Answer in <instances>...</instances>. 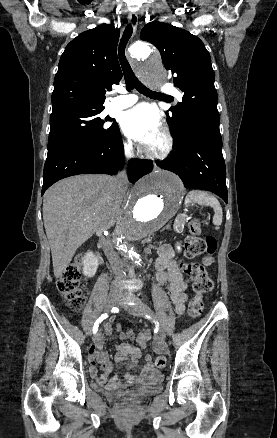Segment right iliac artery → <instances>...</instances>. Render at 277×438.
Returning <instances> with one entry per match:
<instances>
[{
    "instance_id": "right-iliac-artery-1",
    "label": "right iliac artery",
    "mask_w": 277,
    "mask_h": 438,
    "mask_svg": "<svg viewBox=\"0 0 277 438\" xmlns=\"http://www.w3.org/2000/svg\"><path fill=\"white\" fill-rule=\"evenodd\" d=\"M107 317H108V314L105 313V314H102V315L96 320V322H95V324H94V327H93V333H94V334L97 332L99 324H100L104 319H106Z\"/></svg>"
}]
</instances>
